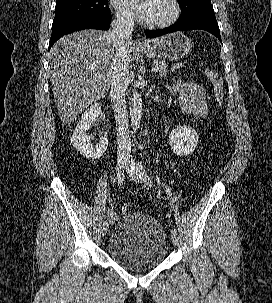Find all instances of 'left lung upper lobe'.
I'll return each mask as SVG.
<instances>
[{
    "label": "left lung upper lobe",
    "instance_id": "5c2ea615",
    "mask_svg": "<svg viewBox=\"0 0 272 303\" xmlns=\"http://www.w3.org/2000/svg\"><path fill=\"white\" fill-rule=\"evenodd\" d=\"M182 8L178 21L215 18L211 0H178Z\"/></svg>",
    "mask_w": 272,
    "mask_h": 303
}]
</instances>
